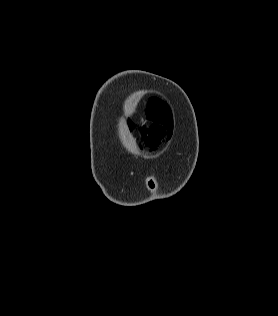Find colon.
I'll use <instances>...</instances> for the list:
<instances>
[{
  "instance_id": "5ec220e1",
  "label": "colon",
  "mask_w": 278,
  "mask_h": 316,
  "mask_svg": "<svg viewBox=\"0 0 278 316\" xmlns=\"http://www.w3.org/2000/svg\"><path fill=\"white\" fill-rule=\"evenodd\" d=\"M166 131L163 126L159 124H152L143 131V140L146 145L155 149L164 140Z\"/></svg>"
}]
</instances>
